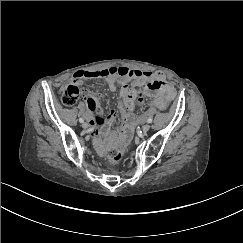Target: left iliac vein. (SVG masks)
<instances>
[{"label":"left iliac vein","instance_id":"4c4485c4","mask_svg":"<svg viewBox=\"0 0 243 243\" xmlns=\"http://www.w3.org/2000/svg\"><path fill=\"white\" fill-rule=\"evenodd\" d=\"M149 129H150V125L149 124H145V125H143V127H142V131L145 133V132H147V131H149Z\"/></svg>","mask_w":243,"mask_h":243}]
</instances>
